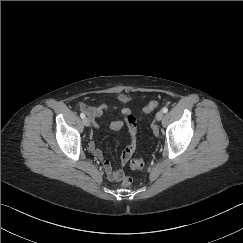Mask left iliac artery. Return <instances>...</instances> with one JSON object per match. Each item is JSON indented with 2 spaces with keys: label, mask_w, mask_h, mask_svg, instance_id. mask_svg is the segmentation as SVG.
Returning a JSON list of instances; mask_svg holds the SVG:
<instances>
[{
  "label": "left iliac artery",
  "mask_w": 243,
  "mask_h": 243,
  "mask_svg": "<svg viewBox=\"0 0 243 243\" xmlns=\"http://www.w3.org/2000/svg\"><path fill=\"white\" fill-rule=\"evenodd\" d=\"M162 111H163V113H167V112H168V108H167V107H164V108L162 109Z\"/></svg>",
  "instance_id": "1"
}]
</instances>
